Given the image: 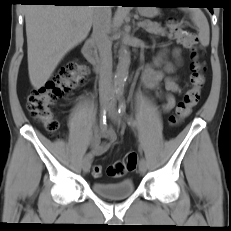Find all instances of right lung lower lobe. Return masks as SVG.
I'll list each match as a JSON object with an SVG mask.
<instances>
[{
  "mask_svg": "<svg viewBox=\"0 0 231 231\" xmlns=\"http://www.w3.org/2000/svg\"><path fill=\"white\" fill-rule=\"evenodd\" d=\"M80 0H22L26 3H49L54 5H82ZM22 4V3H21Z\"/></svg>",
  "mask_w": 231,
  "mask_h": 231,
  "instance_id": "obj_1",
  "label": "right lung lower lobe"
}]
</instances>
